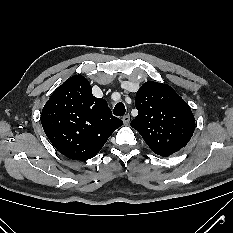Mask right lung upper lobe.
I'll return each mask as SVG.
<instances>
[{"mask_svg": "<svg viewBox=\"0 0 233 233\" xmlns=\"http://www.w3.org/2000/svg\"><path fill=\"white\" fill-rule=\"evenodd\" d=\"M41 122L53 146L77 160L94 157L123 124L104 99L92 95L82 75L70 77L53 92L43 107Z\"/></svg>", "mask_w": 233, "mask_h": 233, "instance_id": "obj_1", "label": "right lung upper lobe"}]
</instances>
